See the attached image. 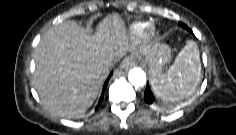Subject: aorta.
Returning <instances> with one entry per match:
<instances>
[{"label": "aorta", "instance_id": "1", "mask_svg": "<svg viewBox=\"0 0 236 135\" xmlns=\"http://www.w3.org/2000/svg\"><path fill=\"white\" fill-rule=\"evenodd\" d=\"M128 79L135 87H141L146 84V74L140 68H133L129 71Z\"/></svg>", "mask_w": 236, "mask_h": 135}]
</instances>
